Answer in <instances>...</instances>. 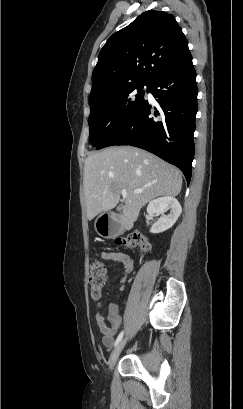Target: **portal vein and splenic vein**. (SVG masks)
Here are the masks:
<instances>
[{
	"instance_id": "1",
	"label": "portal vein and splenic vein",
	"mask_w": 243,
	"mask_h": 409,
	"mask_svg": "<svg viewBox=\"0 0 243 409\" xmlns=\"http://www.w3.org/2000/svg\"><path fill=\"white\" fill-rule=\"evenodd\" d=\"M133 193H134V194H139V193H142V190H141V189H137V190H134ZM121 194H122V196L125 198V197L128 195V192H127L126 189H122V190H121Z\"/></svg>"
}]
</instances>
